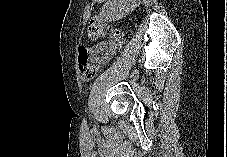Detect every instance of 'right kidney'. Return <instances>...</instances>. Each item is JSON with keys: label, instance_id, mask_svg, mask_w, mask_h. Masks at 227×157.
I'll list each match as a JSON object with an SVG mask.
<instances>
[{"label": "right kidney", "instance_id": "right-kidney-1", "mask_svg": "<svg viewBox=\"0 0 227 157\" xmlns=\"http://www.w3.org/2000/svg\"><path fill=\"white\" fill-rule=\"evenodd\" d=\"M130 11L128 1H108L102 8L101 16L107 20L115 21L124 17Z\"/></svg>", "mask_w": 227, "mask_h": 157}]
</instances>
